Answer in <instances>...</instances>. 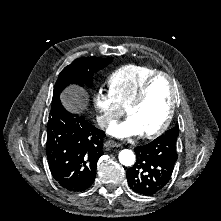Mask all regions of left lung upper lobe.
Wrapping results in <instances>:
<instances>
[{
    "instance_id": "left-lung-upper-lobe-1",
    "label": "left lung upper lobe",
    "mask_w": 221,
    "mask_h": 221,
    "mask_svg": "<svg viewBox=\"0 0 221 221\" xmlns=\"http://www.w3.org/2000/svg\"><path fill=\"white\" fill-rule=\"evenodd\" d=\"M178 135H179V127L177 124L174 128L166 131L163 136H166V137L172 138V139H177Z\"/></svg>"
}]
</instances>
